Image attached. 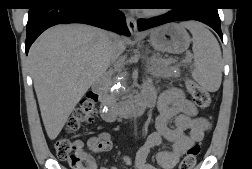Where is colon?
<instances>
[{
  "label": "colon",
  "mask_w": 252,
  "mask_h": 169,
  "mask_svg": "<svg viewBox=\"0 0 252 169\" xmlns=\"http://www.w3.org/2000/svg\"><path fill=\"white\" fill-rule=\"evenodd\" d=\"M186 86L192 96L193 102L200 109H206L211 104L209 93L192 80L186 81ZM97 94L88 92L74 109L68 124L67 131L70 133L78 131L83 125L92 122ZM83 145L79 139L60 138L55 144V151L59 159L66 161L73 169H83L86 162L81 155ZM200 154V146H191L184 155L179 169H193Z\"/></svg>",
  "instance_id": "colon-1"
}]
</instances>
